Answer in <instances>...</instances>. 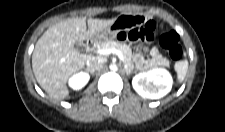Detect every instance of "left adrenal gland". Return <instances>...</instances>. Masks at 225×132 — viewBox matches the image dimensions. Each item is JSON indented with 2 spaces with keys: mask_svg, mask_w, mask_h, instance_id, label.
<instances>
[{
  "mask_svg": "<svg viewBox=\"0 0 225 132\" xmlns=\"http://www.w3.org/2000/svg\"><path fill=\"white\" fill-rule=\"evenodd\" d=\"M125 71H126V73L129 75L130 73H132V70L131 69H129L128 67H126L125 66Z\"/></svg>",
  "mask_w": 225,
  "mask_h": 132,
  "instance_id": "left-adrenal-gland-1",
  "label": "left adrenal gland"
}]
</instances>
